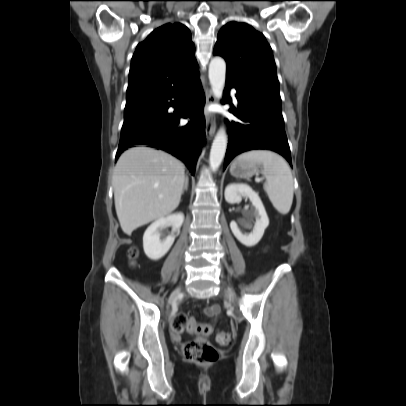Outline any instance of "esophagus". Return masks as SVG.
<instances>
[{
  "mask_svg": "<svg viewBox=\"0 0 406 406\" xmlns=\"http://www.w3.org/2000/svg\"><path fill=\"white\" fill-rule=\"evenodd\" d=\"M206 105L213 104L216 101L215 95L211 88H206ZM216 131V122L213 115H207L205 133L208 139H211Z\"/></svg>",
  "mask_w": 406,
  "mask_h": 406,
  "instance_id": "1",
  "label": "esophagus"
}]
</instances>
